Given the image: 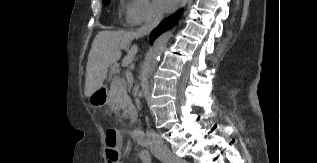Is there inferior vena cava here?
<instances>
[{
  "label": "inferior vena cava",
  "mask_w": 317,
  "mask_h": 163,
  "mask_svg": "<svg viewBox=\"0 0 317 163\" xmlns=\"http://www.w3.org/2000/svg\"><path fill=\"white\" fill-rule=\"evenodd\" d=\"M162 19V14L157 11H151L147 15L145 24L138 29L137 34L141 37L148 35L151 31L158 26ZM147 141L151 152L159 159H164L169 155V150L164 144L160 136L154 131L146 132Z\"/></svg>",
  "instance_id": "obj_1"
}]
</instances>
